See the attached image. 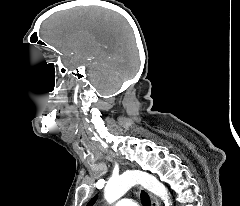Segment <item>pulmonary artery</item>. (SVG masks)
I'll return each instance as SVG.
<instances>
[{
    "label": "pulmonary artery",
    "mask_w": 240,
    "mask_h": 206,
    "mask_svg": "<svg viewBox=\"0 0 240 206\" xmlns=\"http://www.w3.org/2000/svg\"><path fill=\"white\" fill-rule=\"evenodd\" d=\"M114 206H138V204L129 198H123L119 200Z\"/></svg>",
    "instance_id": "e3ab8cb5"
}]
</instances>
